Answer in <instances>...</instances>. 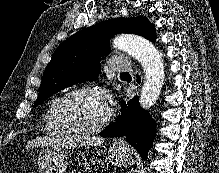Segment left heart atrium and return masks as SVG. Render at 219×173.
<instances>
[{
  "instance_id": "left-heart-atrium-1",
  "label": "left heart atrium",
  "mask_w": 219,
  "mask_h": 173,
  "mask_svg": "<svg viewBox=\"0 0 219 173\" xmlns=\"http://www.w3.org/2000/svg\"><path fill=\"white\" fill-rule=\"evenodd\" d=\"M104 101H105V103L107 104V98H105V100H104Z\"/></svg>"
}]
</instances>
